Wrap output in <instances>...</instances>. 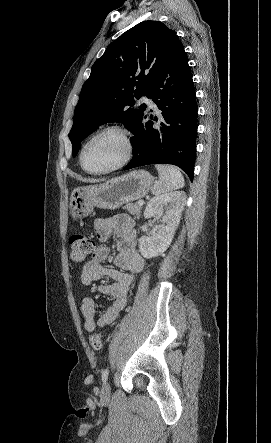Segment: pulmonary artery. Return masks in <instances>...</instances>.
Listing matches in <instances>:
<instances>
[{"label":"pulmonary artery","instance_id":"obj_1","mask_svg":"<svg viewBox=\"0 0 271 443\" xmlns=\"http://www.w3.org/2000/svg\"><path fill=\"white\" fill-rule=\"evenodd\" d=\"M142 103L147 104L150 108H156V105L153 101V99L147 97V96H143L140 100Z\"/></svg>","mask_w":271,"mask_h":443}]
</instances>
